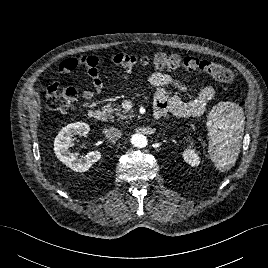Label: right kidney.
Segmentation results:
<instances>
[{"mask_svg": "<svg viewBox=\"0 0 268 268\" xmlns=\"http://www.w3.org/2000/svg\"><path fill=\"white\" fill-rule=\"evenodd\" d=\"M90 130L88 124L83 122H75L68 124L55 138L54 151L57 158L70 169L76 172H85L101 158L99 151H91L84 157L78 158L77 153H71L69 147L74 135H86Z\"/></svg>", "mask_w": 268, "mask_h": 268, "instance_id": "ca27d5eb", "label": "right kidney"}]
</instances>
